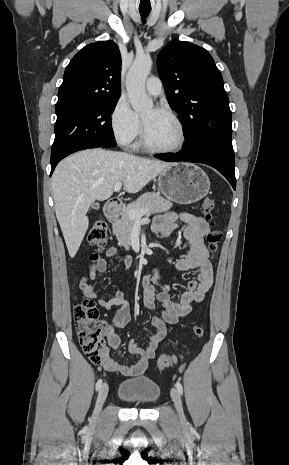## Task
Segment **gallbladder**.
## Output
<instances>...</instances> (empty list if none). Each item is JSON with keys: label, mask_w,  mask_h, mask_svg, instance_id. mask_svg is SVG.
<instances>
[{"label": "gallbladder", "mask_w": 289, "mask_h": 465, "mask_svg": "<svg viewBox=\"0 0 289 465\" xmlns=\"http://www.w3.org/2000/svg\"><path fill=\"white\" fill-rule=\"evenodd\" d=\"M92 207L98 209L99 205L97 203H94V204H92Z\"/></svg>", "instance_id": "obj_1"}]
</instances>
